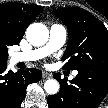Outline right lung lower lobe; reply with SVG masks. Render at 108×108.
<instances>
[{
    "label": "right lung lower lobe",
    "mask_w": 108,
    "mask_h": 108,
    "mask_svg": "<svg viewBox=\"0 0 108 108\" xmlns=\"http://www.w3.org/2000/svg\"><path fill=\"white\" fill-rule=\"evenodd\" d=\"M7 64H0V108H19L26 95V88L40 81L42 72L28 68L14 73L6 72Z\"/></svg>",
    "instance_id": "right-lung-lower-lobe-1"
}]
</instances>
